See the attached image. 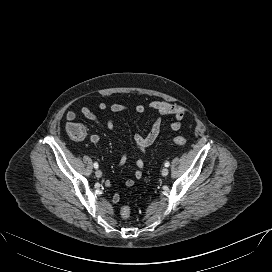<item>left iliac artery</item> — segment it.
I'll return each instance as SVG.
<instances>
[{
    "instance_id": "1",
    "label": "left iliac artery",
    "mask_w": 272,
    "mask_h": 272,
    "mask_svg": "<svg viewBox=\"0 0 272 272\" xmlns=\"http://www.w3.org/2000/svg\"><path fill=\"white\" fill-rule=\"evenodd\" d=\"M165 167H169V165H170V163L167 161V162H165Z\"/></svg>"
}]
</instances>
